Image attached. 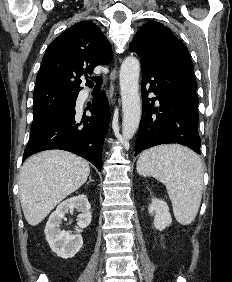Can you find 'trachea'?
I'll list each match as a JSON object with an SVG mask.
<instances>
[{
    "instance_id": "obj_1",
    "label": "trachea",
    "mask_w": 232,
    "mask_h": 282,
    "mask_svg": "<svg viewBox=\"0 0 232 282\" xmlns=\"http://www.w3.org/2000/svg\"><path fill=\"white\" fill-rule=\"evenodd\" d=\"M96 82V86L94 88L95 91H100L102 85V78L101 77H94L92 78Z\"/></svg>"
}]
</instances>
